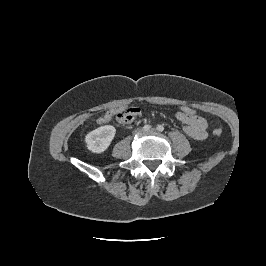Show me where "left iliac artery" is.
<instances>
[{
    "label": "left iliac artery",
    "instance_id": "obj_1",
    "mask_svg": "<svg viewBox=\"0 0 266 266\" xmlns=\"http://www.w3.org/2000/svg\"><path fill=\"white\" fill-rule=\"evenodd\" d=\"M156 129H157L159 132L164 131V127H163L162 125H158V126L156 127Z\"/></svg>",
    "mask_w": 266,
    "mask_h": 266
}]
</instances>
